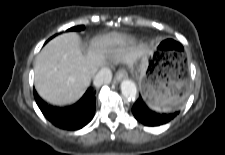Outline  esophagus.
I'll return each instance as SVG.
<instances>
[{
    "label": "esophagus",
    "instance_id": "34e87169",
    "mask_svg": "<svg viewBox=\"0 0 225 155\" xmlns=\"http://www.w3.org/2000/svg\"><path fill=\"white\" fill-rule=\"evenodd\" d=\"M127 74L124 70H119L114 77V82H120L122 79L126 78Z\"/></svg>",
    "mask_w": 225,
    "mask_h": 155
}]
</instances>
